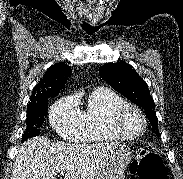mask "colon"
I'll list each match as a JSON object with an SVG mask.
<instances>
[{"instance_id":"5ec220e1","label":"colon","mask_w":183,"mask_h":179,"mask_svg":"<svg viewBox=\"0 0 183 179\" xmlns=\"http://www.w3.org/2000/svg\"><path fill=\"white\" fill-rule=\"evenodd\" d=\"M131 179H167V171L158 154L141 150L131 164Z\"/></svg>"}]
</instances>
